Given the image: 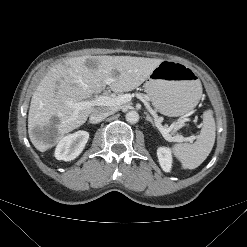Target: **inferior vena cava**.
Masks as SVG:
<instances>
[{
    "instance_id": "602c4592",
    "label": "inferior vena cava",
    "mask_w": 247,
    "mask_h": 247,
    "mask_svg": "<svg viewBox=\"0 0 247 247\" xmlns=\"http://www.w3.org/2000/svg\"><path fill=\"white\" fill-rule=\"evenodd\" d=\"M114 112L115 109L112 108H98L91 114L90 120L92 123H99Z\"/></svg>"
}]
</instances>
